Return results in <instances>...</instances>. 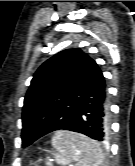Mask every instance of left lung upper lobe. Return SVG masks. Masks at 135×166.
<instances>
[{
  "mask_svg": "<svg viewBox=\"0 0 135 166\" xmlns=\"http://www.w3.org/2000/svg\"><path fill=\"white\" fill-rule=\"evenodd\" d=\"M91 58L79 48L67 49L44 62L33 76L24 99L22 122L51 121L65 106Z\"/></svg>",
  "mask_w": 135,
  "mask_h": 166,
  "instance_id": "1",
  "label": "left lung upper lobe"
}]
</instances>
